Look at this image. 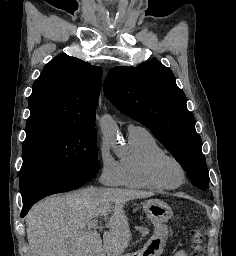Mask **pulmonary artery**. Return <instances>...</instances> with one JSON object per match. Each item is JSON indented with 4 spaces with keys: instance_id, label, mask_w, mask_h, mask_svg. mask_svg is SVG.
I'll return each instance as SVG.
<instances>
[{
    "instance_id": "e3ab8cb5",
    "label": "pulmonary artery",
    "mask_w": 236,
    "mask_h": 256,
    "mask_svg": "<svg viewBox=\"0 0 236 256\" xmlns=\"http://www.w3.org/2000/svg\"><path fill=\"white\" fill-rule=\"evenodd\" d=\"M142 129H144V128H142L141 126L135 125L133 123H130L126 126V130H127L129 135L132 134V133H135L139 130H142Z\"/></svg>"
}]
</instances>
